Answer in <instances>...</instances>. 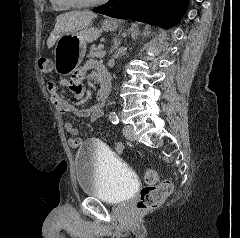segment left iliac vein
Segmentation results:
<instances>
[{
    "label": "left iliac vein",
    "mask_w": 240,
    "mask_h": 238,
    "mask_svg": "<svg viewBox=\"0 0 240 238\" xmlns=\"http://www.w3.org/2000/svg\"><path fill=\"white\" fill-rule=\"evenodd\" d=\"M123 134L125 136L126 139L130 140V141H134L135 140V135H134V128L131 125H125L123 127Z\"/></svg>",
    "instance_id": "4c4485c4"
}]
</instances>
